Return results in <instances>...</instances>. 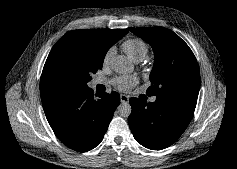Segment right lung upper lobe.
Returning a JSON list of instances; mask_svg holds the SVG:
<instances>
[{
  "instance_id": "obj_1",
  "label": "right lung upper lobe",
  "mask_w": 237,
  "mask_h": 169,
  "mask_svg": "<svg viewBox=\"0 0 237 169\" xmlns=\"http://www.w3.org/2000/svg\"><path fill=\"white\" fill-rule=\"evenodd\" d=\"M128 31L129 29L74 30L63 35L60 40L54 45L46 60L40 81L41 99L44 100L51 95L57 94L68 89L63 85L49 81L46 78L45 74L46 65L52 53L59 44L65 41H79L90 45L91 47H94L100 55L105 56L108 49L124 35H126Z\"/></svg>"
}]
</instances>
